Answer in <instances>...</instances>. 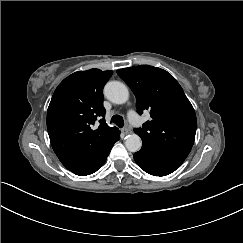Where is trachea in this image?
<instances>
[{
	"label": "trachea",
	"instance_id": "1",
	"mask_svg": "<svg viewBox=\"0 0 243 243\" xmlns=\"http://www.w3.org/2000/svg\"><path fill=\"white\" fill-rule=\"evenodd\" d=\"M111 121L113 123H115L118 127H123V125H124V120H123L122 116H120V115L112 116Z\"/></svg>",
	"mask_w": 243,
	"mask_h": 243
}]
</instances>
